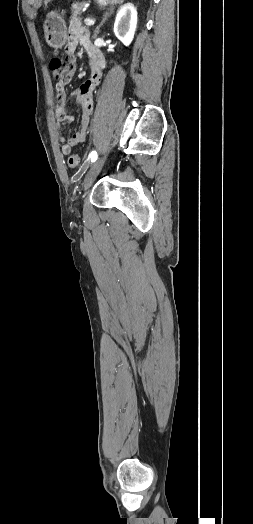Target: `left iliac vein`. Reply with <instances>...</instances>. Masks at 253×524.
Listing matches in <instances>:
<instances>
[{"mask_svg": "<svg viewBox=\"0 0 253 524\" xmlns=\"http://www.w3.org/2000/svg\"><path fill=\"white\" fill-rule=\"evenodd\" d=\"M104 162H105V157H101L92 164V166L90 167V169L88 170L84 178V182H83L84 190H87L92 185V183L98 176L99 172L101 171Z\"/></svg>", "mask_w": 253, "mask_h": 524, "instance_id": "obj_1", "label": "left iliac vein"}]
</instances>
